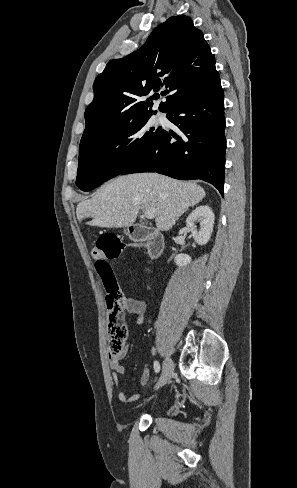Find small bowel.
<instances>
[{"instance_id":"c3829d8e","label":"small bowel","mask_w":297,"mask_h":488,"mask_svg":"<svg viewBox=\"0 0 297 488\" xmlns=\"http://www.w3.org/2000/svg\"><path fill=\"white\" fill-rule=\"evenodd\" d=\"M125 302L127 311L136 316V322L138 325H142L144 323V315L146 309L145 302L132 297H125ZM127 349L128 346L127 344H125L123 351L119 355H110L109 359L113 384L115 385L118 399L124 404L135 402L141 397V394L139 393L127 396L120 387L119 376L125 373V367L121 365L120 362L125 357ZM149 377V369L144 368L140 377V385H146L149 381Z\"/></svg>"}]
</instances>
